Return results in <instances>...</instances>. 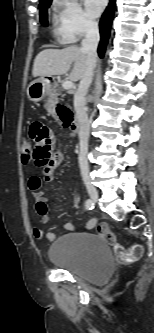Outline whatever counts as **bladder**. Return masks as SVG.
Returning a JSON list of instances; mask_svg holds the SVG:
<instances>
[{"label": "bladder", "mask_w": 154, "mask_h": 333, "mask_svg": "<svg viewBox=\"0 0 154 333\" xmlns=\"http://www.w3.org/2000/svg\"><path fill=\"white\" fill-rule=\"evenodd\" d=\"M47 256L60 269L94 281H106L112 272L109 244L91 231L60 236L49 246Z\"/></svg>", "instance_id": "obj_1"}]
</instances>
